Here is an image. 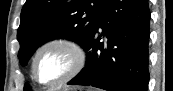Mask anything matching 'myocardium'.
<instances>
[{
	"label": "myocardium",
	"mask_w": 173,
	"mask_h": 91,
	"mask_svg": "<svg viewBox=\"0 0 173 91\" xmlns=\"http://www.w3.org/2000/svg\"><path fill=\"white\" fill-rule=\"evenodd\" d=\"M51 47H60L67 50L72 57V65L69 71L60 78L44 82L38 78L36 70L37 62L40 55L45 50ZM86 62H87V53L80 42L69 37H56L46 41L37 49L32 60L31 72L34 80L39 84L47 87H55L62 85L68 82L69 80L73 79L75 76H77L85 67Z\"/></svg>",
	"instance_id": "f54148a6"
}]
</instances>
